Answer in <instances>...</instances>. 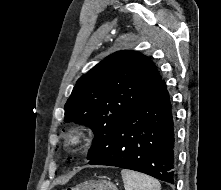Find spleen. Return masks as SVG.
Wrapping results in <instances>:
<instances>
[{
  "label": "spleen",
  "instance_id": "3e777b00",
  "mask_svg": "<svg viewBox=\"0 0 221 190\" xmlns=\"http://www.w3.org/2000/svg\"><path fill=\"white\" fill-rule=\"evenodd\" d=\"M125 190H160L161 185L156 179L132 170L121 171Z\"/></svg>",
  "mask_w": 221,
  "mask_h": 190
}]
</instances>
